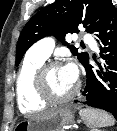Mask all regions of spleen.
Returning <instances> with one entry per match:
<instances>
[{
  "instance_id": "obj_1",
  "label": "spleen",
  "mask_w": 117,
  "mask_h": 131,
  "mask_svg": "<svg viewBox=\"0 0 117 131\" xmlns=\"http://www.w3.org/2000/svg\"><path fill=\"white\" fill-rule=\"evenodd\" d=\"M79 114L85 124L92 128L113 126L115 124L113 116L103 110L85 108L81 109Z\"/></svg>"
}]
</instances>
